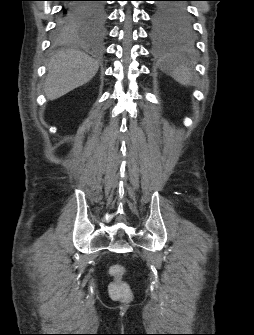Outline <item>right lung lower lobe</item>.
I'll return each instance as SVG.
<instances>
[{"mask_svg": "<svg viewBox=\"0 0 254 335\" xmlns=\"http://www.w3.org/2000/svg\"><path fill=\"white\" fill-rule=\"evenodd\" d=\"M64 6L59 14L55 31L68 30L76 20L79 21V29L90 31L99 21V11L92 5L98 0H63Z\"/></svg>", "mask_w": 254, "mask_h": 335, "instance_id": "1", "label": "right lung lower lobe"}]
</instances>
